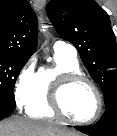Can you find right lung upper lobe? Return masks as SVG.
<instances>
[{"mask_svg":"<svg viewBox=\"0 0 117 136\" xmlns=\"http://www.w3.org/2000/svg\"><path fill=\"white\" fill-rule=\"evenodd\" d=\"M37 29L26 0H0V55L29 59L37 46Z\"/></svg>","mask_w":117,"mask_h":136,"instance_id":"1","label":"right lung upper lobe"}]
</instances>
